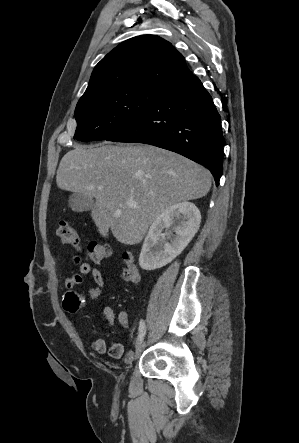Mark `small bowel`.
<instances>
[{
  "label": "small bowel",
  "mask_w": 299,
  "mask_h": 443,
  "mask_svg": "<svg viewBox=\"0 0 299 443\" xmlns=\"http://www.w3.org/2000/svg\"><path fill=\"white\" fill-rule=\"evenodd\" d=\"M76 263L80 262L79 257H74L73 259ZM86 275H90L95 283V286L92 287L89 291V296L91 299H96L101 294V291L104 287V279L102 273L99 269L94 267L91 263L84 262L80 264L78 273L68 277L65 280V286L67 288V292L65 294L63 300V308L67 312L75 313L77 312L82 304H83V296L74 290V288L83 283L84 277ZM105 318L108 323H112L114 321V312L111 308H106L105 310ZM129 318V314L127 312H121L119 314V319L122 323H126ZM93 350L98 354H109L112 358H122L128 361L131 359V353H125V347L123 344L119 342H113L110 345L106 343L103 339H96L92 343Z\"/></svg>",
  "instance_id": "obj_1"
}]
</instances>
